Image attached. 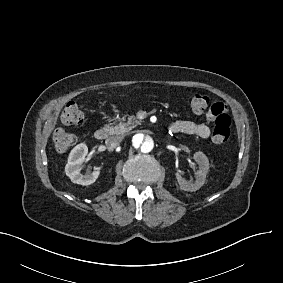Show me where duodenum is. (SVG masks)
I'll use <instances>...</instances> for the list:
<instances>
[{
    "mask_svg": "<svg viewBox=\"0 0 283 283\" xmlns=\"http://www.w3.org/2000/svg\"><path fill=\"white\" fill-rule=\"evenodd\" d=\"M94 136L97 140L103 141L109 136V131L107 128L101 127L95 131Z\"/></svg>",
    "mask_w": 283,
    "mask_h": 283,
    "instance_id": "410a0bca",
    "label": "duodenum"
}]
</instances>
